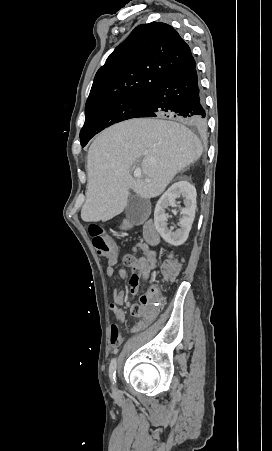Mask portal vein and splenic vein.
Returning <instances> with one entry per match:
<instances>
[{"label":"portal vein and splenic vein","instance_id":"18ae733b","mask_svg":"<svg viewBox=\"0 0 272 451\" xmlns=\"http://www.w3.org/2000/svg\"><path fill=\"white\" fill-rule=\"evenodd\" d=\"M133 176L134 178H137V180H139V178H142L141 170H135V172H133ZM145 182H150V180H148V178H145Z\"/></svg>","mask_w":272,"mask_h":451}]
</instances>
